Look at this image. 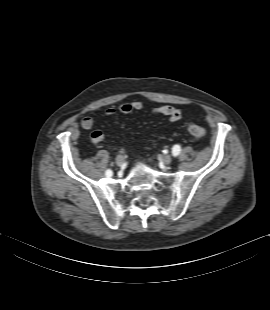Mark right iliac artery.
I'll return each instance as SVG.
<instances>
[{"label":"right iliac artery","instance_id":"1","mask_svg":"<svg viewBox=\"0 0 270 310\" xmlns=\"http://www.w3.org/2000/svg\"><path fill=\"white\" fill-rule=\"evenodd\" d=\"M112 174H113V173H112V171H111L110 169H108V170L106 171V175H107V176H112Z\"/></svg>","mask_w":270,"mask_h":310}]
</instances>
